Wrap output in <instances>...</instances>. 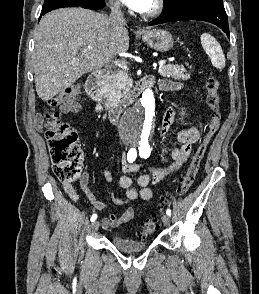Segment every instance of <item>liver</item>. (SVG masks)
I'll return each mask as SVG.
<instances>
[{
    "instance_id": "obj_1",
    "label": "liver",
    "mask_w": 259,
    "mask_h": 294,
    "mask_svg": "<svg viewBox=\"0 0 259 294\" xmlns=\"http://www.w3.org/2000/svg\"><path fill=\"white\" fill-rule=\"evenodd\" d=\"M36 92L43 101L72 86L84 74L108 65L127 52V29L115 30L103 14L61 8L46 14L34 32ZM90 47L89 51H84Z\"/></svg>"
}]
</instances>
